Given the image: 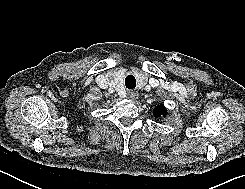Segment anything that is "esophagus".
<instances>
[{
  "label": "esophagus",
  "mask_w": 245,
  "mask_h": 189,
  "mask_svg": "<svg viewBox=\"0 0 245 189\" xmlns=\"http://www.w3.org/2000/svg\"><path fill=\"white\" fill-rule=\"evenodd\" d=\"M127 96L130 100H135L139 97V93L134 92V91H130V92H128Z\"/></svg>",
  "instance_id": "esophagus-1"
}]
</instances>
